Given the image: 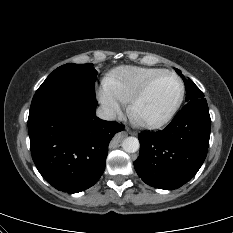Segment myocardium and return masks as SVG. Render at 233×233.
Instances as JSON below:
<instances>
[{
    "label": "myocardium",
    "mask_w": 233,
    "mask_h": 233,
    "mask_svg": "<svg viewBox=\"0 0 233 233\" xmlns=\"http://www.w3.org/2000/svg\"><path fill=\"white\" fill-rule=\"evenodd\" d=\"M165 75H170V76L175 77L179 83L180 92H179V96H178L176 102L174 103V105L170 108V110L163 117H161L157 120H152V121L139 120L134 114V110H135L136 105L145 97V95L148 93V91L150 90L152 85L159 78H161L162 76H165ZM184 96H185V85H184L182 78L174 71L163 70L160 73L151 77L148 81H146L141 86V88L133 95V97L129 101L128 112L133 118L138 120L141 125L148 127V128H158V127H161V126L167 124L169 121L172 120V118L175 116V114L180 109V107L183 103V100H184Z\"/></svg>",
    "instance_id": "f54148a6"
}]
</instances>
